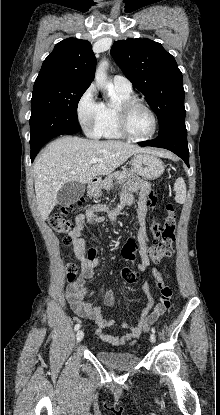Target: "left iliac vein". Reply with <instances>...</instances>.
<instances>
[{"label":"left iliac vein","mask_w":220,"mask_h":415,"mask_svg":"<svg viewBox=\"0 0 220 415\" xmlns=\"http://www.w3.org/2000/svg\"><path fill=\"white\" fill-rule=\"evenodd\" d=\"M150 341H151L152 343H154V342L156 341V337H155V335H154V334H151V335H150Z\"/></svg>","instance_id":"obj_1"}]
</instances>
